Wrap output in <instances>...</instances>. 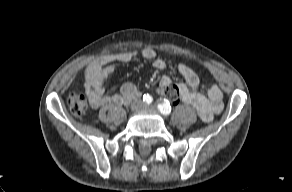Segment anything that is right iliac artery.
Here are the masks:
<instances>
[{"label":"right iliac artery","instance_id":"obj_1","mask_svg":"<svg viewBox=\"0 0 292 192\" xmlns=\"http://www.w3.org/2000/svg\"><path fill=\"white\" fill-rule=\"evenodd\" d=\"M143 101L146 105H149L152 103L153 98L149 94H144L143 95Z\"/></svg>","mask_w":292,"mask_h":192}]
</instances>
